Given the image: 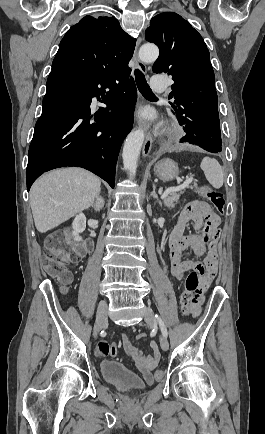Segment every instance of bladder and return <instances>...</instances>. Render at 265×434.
<instances>
[{
	"label": "bladder",
	"instance_id": "1",
	"mask_svg": "<svg viewBox=\"0 0 265 434\" xmlns=\"http://www.w3.org/2000/svg\"><path fill=\"white\" fill-rule=\"evenodd\" d=\"M99 370L107 382L118 388L142 389L145 386L136 374L119 362L111 360L102 361L99 364Z\"/></svg>",
	"mask_w": 265,
	"mask_h": 434
}]
</instances>
